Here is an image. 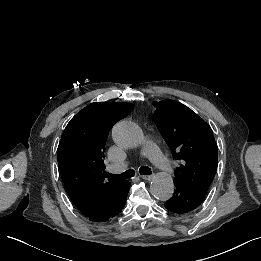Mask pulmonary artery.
Returning a JSON list of instances; mask_svg holds the SVG:
<instances>
[{
    "label": "pulmonary artery",
    "instance_id": "obj_1",
    "mask_svg": "<svg viewBox=\"0 0 261 261\" xmlns=\"http://www.w3.org/2000/svg\"><path fill=\"white\" fill-rule=\"evenodd\" d=\"M141 153L155 164L157 170L166 171L169 169V158L164 156L160 148L149 136H145L144 138V142L141 145ZM126 167V163L114 164L110 167V170L113 173H119L125 170Z\"/></svg>",
    "mask_w": 261,
    "mask_h": 261
}]
</instances>
